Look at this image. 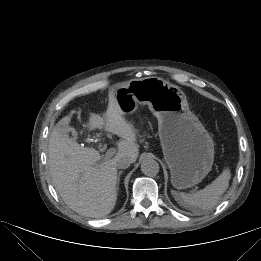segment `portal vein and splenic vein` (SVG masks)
Returning <instances> with one entry per match:
<instances>
[{
  "label": "portal vein and splenic vein",
  "instance_id": "18ae733b",
  "mask_svg": "<svg viewBox=\"0 0 261 261\" xmlns=\"http://www.w3.org/2000/svg\"><path fill=\"white\" fill-rule=\"evenodd\" d=\"M116 153V150L115 149H109V150H107L106 151V153H105V158L106 159H109V158H111L112 156H114V154Z\"/></svg>",
  "mask_w": 261,
  "mask_h": 261
}]
</instances>
